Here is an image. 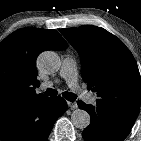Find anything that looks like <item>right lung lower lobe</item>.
Segmentation results:
<instances>
[{"mask_svg":"<svg viewBox=\"0 0 141 141\" xmlns=\"http://www.w3.org/2000/svg\"><path fill=\"white\" fill-rule=\"evenodd\" d=\"M66 108V101L59 96L12 108L0 116V139L47 141L55 121Z\"/></svg>","mask_w":141,"mask_h":141,"instance_id":"1","label":"right lung lower lobe"}]
</instances>
